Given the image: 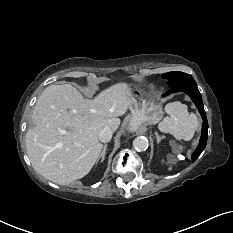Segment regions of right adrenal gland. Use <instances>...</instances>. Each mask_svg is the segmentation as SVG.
<instances>
[{
	"label": "right adrenal gland",
	"instance_id": "right-adrenal-gland-1",
	"mask_svg": "<svg viewBox=\"0 0 233 233\" xmlns=\"http://www.w3.org/2000/svg\"><path fill=\"white\" fill-rule=\"evenodd\" d=\"M107 147H108V145L105 144V145H104V148H103V151H102V153L99 155V158H98V161H97V162H99L100 159H101V161L104 160L105 154H106V151H107Z\"/></svg>",
	"mask_w": 233,
	"mask_h": 233
}]
</instances>
